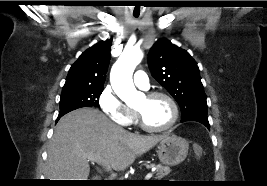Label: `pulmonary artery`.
Instances as JSON below:
<instances>
[{
  "instance_id": "1",
  "label": "pulmonary artery",
  "mask_w": 267,
  "mask_h": 186,
  "mask_svg": "<svg viewBox=\"0 0 267 186\" xmlns=\"http://www.w3.org/2000/svg\"><path fill=\"white\" fill-rule=\"evenodd\" d=\"M134 83L142 89H147L149 86V78L143 71H137L133 76Z\"/></svg>"
}]
</instances>
